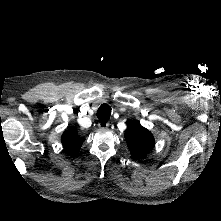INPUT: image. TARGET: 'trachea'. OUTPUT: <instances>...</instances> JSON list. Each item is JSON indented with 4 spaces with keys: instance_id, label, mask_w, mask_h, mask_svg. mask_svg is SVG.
Here are the masks:
<instances>
[{
    "instance_id": "obj_1",
    "label": "trachea",
    "mask_w": 221,
    "mask_h": 221,
    "mask_svg": "<svg viewBox=\"0 0 221 221\" xmlns=\"http://www.w3.org/2000/svg\"><path fill=\"white\" fill-rule=\"evenodd\" d=\"M111 107L108 104H102L98 111L97 117L100 121L106 122L110 119Z\"/></svg>"
}]
</instances>
